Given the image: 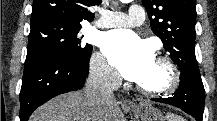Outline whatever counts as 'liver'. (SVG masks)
<instances>
[{
    "instance_id": "1",
    "label": "liver",
    "mask_w": 217,
    "mask_h": 121,
    "mask_svg": "<svg viewBox=\"0 0 217 121\" xmlns=\"http://www.w3.org/2000/svg\"><path fill=\"white\" fill-rule=\"evenodd\" d=\"M30 121H125L116 100L100 107L90 106L83 91L59 95L40 106Z\"/></svg>"
}]
</instances>
